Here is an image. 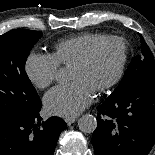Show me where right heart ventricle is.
Returning a JSON list of instances; mask_svg holds the SVG:
<instances>
[{"label":"right heart ventricle","instance_id":"1","mask_svg":"<svg viewBox=\"0 0 155 155\" xmlns=\"http://www.w3.org/2000/svg\"><path fill=\"white\" fill-rule=\"evenodd\" d=\"M105 36L101 33L85 32L60 40L54 45L52 56L59 65L70 67L84 55L92 44Z\"/></svg>","mask_w":155,"mask_h":155}]
</instances>
